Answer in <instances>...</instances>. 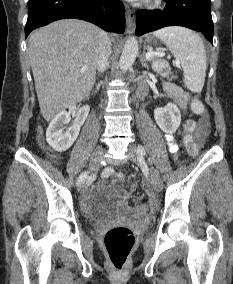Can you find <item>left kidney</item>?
<instances>
[{
    "mask_svg": "<svg viewBox=\"0 0 233 284\" xmlns=\"http://www.w3.org/2000/svg\"><path fill=\"white\" fill-rule=\"evenodd\" d=\"M154 118L157 125L168 134L175 133L181 123L180 110L172 103L164 108H156Z\"/></svg>",
    "mask_w": 233,
    "mask_h": 284,
    "instance_id": "obj_1",
    "label": "left kidney"
}]
</instances>
